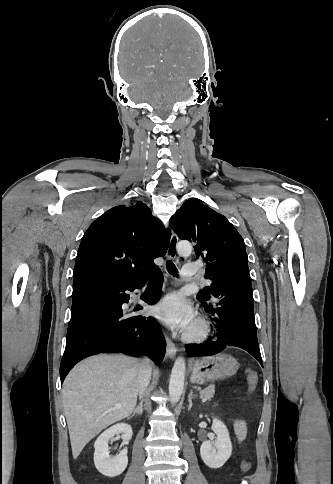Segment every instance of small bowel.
<instances>
[{
    "label": "small bowel",
    "mask_w": 333,
    "mask_h": 484,
    "mask_svg": "<svg viewBox=\"0 0 333 484\" xmlns=\"http://www.w3.org/2000/svg\"><path fill=\"white\" fill-rule=\"evenodd\" d=\"M235 435L239 442H242L247 434V426L244 420L242 419H232L231 420Z\"/></svg>",
    "instance_id": "1"
}]
</instances>
